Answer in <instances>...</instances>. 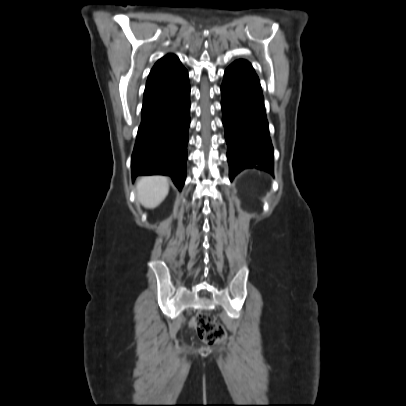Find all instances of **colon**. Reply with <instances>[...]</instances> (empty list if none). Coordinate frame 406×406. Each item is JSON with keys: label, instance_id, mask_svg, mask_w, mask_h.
<instances>
[{"label": "colon", "instance_id": "colon-1", "mask_svg": "<svg viewBox=\"0 0 406 406\" xmlns=\"http://www.w3.org/2000/svg\"><path fill=\"white\" fill-rule=\"evenodd\" d=\"M192 326L198 336L205 342L213 344L224 339L226 332L213 314L207 311L197 313L192 319Z\"/></svg>", "mask_w": 406, "mask_h": 406}]
</instances>
